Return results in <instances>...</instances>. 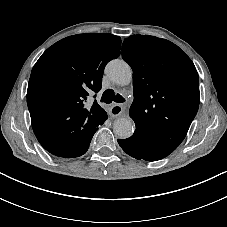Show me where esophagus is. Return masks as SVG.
<instances>
[{"instance_id":"obj_1","label":"esophagus","mask_w":227,"mask_h":227,"mask_svg":"<svg viewBox=\"0 0 227 227\" xmlns=\"http://www.w3.org/2000/svg\"><path fill=\"white\" fill-rule=\"evenodd\" d=\"M123 112H124V107L119 104L113 105L109 110V114L112 117H117V116L121 115Z\"/></svg>"}]
</instances>
